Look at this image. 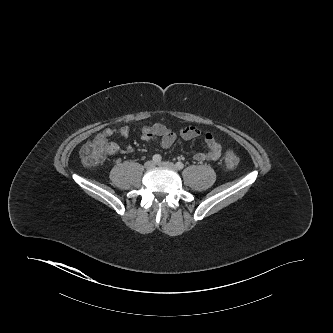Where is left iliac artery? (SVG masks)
I'll return each instance as SVG.
<instances>
[{
	"instance_id": "1",
	"label": "left iliac artery",
	"mask_w": 333,
	"mask_h": 333,
	"mask_svg": "<svg viewBox=\"0 0 333 333\" xmlns=\"http://www.w3.org/2000/svg\"><path fill=\"white\" fill-rule=\"evenodd\" d=\"M175 166H176V168H177L178 170H181V169L184 168V164H183L182 162H177V163L175 164Z\"/></svg>"
}]
</instances>
